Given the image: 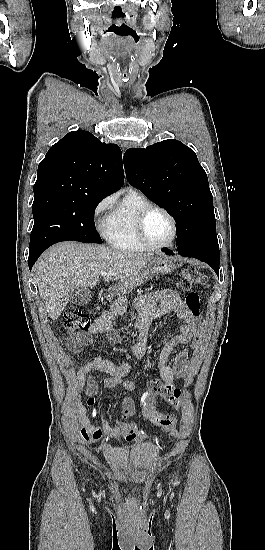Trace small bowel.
Listing matches in <instances>:
<instances>
[{"label": "small bowel", "mask_w": 265, "mask_h": 550, "mask_svg": "<svg viewBox=\"0 0 265 550\" xmlns=\"http://www.w3.org/2000/svg\"><path fill=\"white\" fill-rule=\"evenodd\" d=\"M126 306L127 299L119 298L104 315L97 317L93 321L92 326L88 330L67 336L65 338V346L68 353L70 355L79 354L84 347L92 343L93 337L97 334L106 335L111 344L118 343L119 336L112 327V320L114 317L122 314ZM134 307L139 314L136 322L137 340L130 346L129 350L131 355L136 359H143L147 355L148 329L154 318L173 312L178 319L180 323L179 334L173 337L161 349L158 356V372L162 382L167 387L176 388V380L184 377L190 368L187 348L195 351L198 346L199 318L193 316L185 309L184 302L177 292L169 289H157L138 296L134 300ZM173 346H183L185 349L177 353L172 361L169 362L170 349ZM130 370L131 367L126 363L114 364L100 355H95L75 372V379L81 386L86 383L87 393L95 395L99 390V383L96 378H87V376L94 372H104L109 375L103 383L104 389H115L122 386L126 391L131 392L137 388V382L125 379ZM160 397L163 398L162 396ZM135 412L134 401L126 398L122 404V417L130 418L135 415ZM77 414L81 424V437L89 444L100 442L103 438V430L94 425L92 419L86 416L84 408L79 407ZM150 421L162 426L159 420ZM107 434L110 437H115L118 431L113 428L108 429Z\"/></svg>", "instance_id": "obj_1"}]
</instances>
